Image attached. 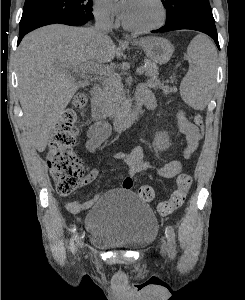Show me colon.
Wrapping results in <instances>:
<instances>
[{
	"label": "colon",
	"mask_w": 245,
	"mask_h": 300,
	"mask_svg": "<svg viewBox=\"0 0 245 300\" xmlns=\"http://www.w3.org/2000/svg\"><path fill=\"white\" fill-rule=\"evenodd\" d=\"M85 104V97L77 95L73 106L64 110L54 128L48 143V166L58 194L66 196L74 192L84 181V168L80 158L72 147L78 133V110ZM196 126L203 130V120L200 115L195 116ZM176 189L170 198L159 203L158 211L167 216L181 207L192 184V178L182 173L176 181ZM138 196L145 202L154 198V189L143 185L138 189Z\"/></svg>",
	"instance_id": "obj_1"
}]
</instances>
